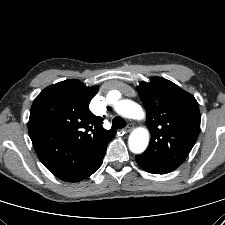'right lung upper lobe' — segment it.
I'll list each match as a JSON object with an SVG mask.
<instances>
[{"label":"right lung upper lobe","instance_id":"cb5924a9","mask_svg":"<svg viewBox=\"0 0 225 225\" xmlns=\"http://www.w3.org/2000/svg\"><path fill=\"white\" fill-rule=\"evenodd\" d=\"M97 91V86L65 80L42 90L32 104L29 136L40 161L61 180L88 177L115 136L88 108Z\"/></svg>","mask_w":225,"mask_h":225}]
</instances>
